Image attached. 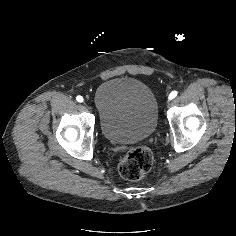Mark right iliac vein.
<instances>
[{"instance_id": "right-iliac-vein-1", "label": "right iliac vein", "mask_w": 236, "mask_h": 236, "mask_svg": "<svg viewBox=\"0 0 236 236\" xmlns=\"http://www.w3.org/2000/svg\"><path fill=\"white\" fill-rule=\"evenodd\" d=\"M83 106L87 109V110H90L91 112H93V107L91 105H89L87 102H84L83 103Z\"/></svg>"}]
</instances>
